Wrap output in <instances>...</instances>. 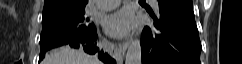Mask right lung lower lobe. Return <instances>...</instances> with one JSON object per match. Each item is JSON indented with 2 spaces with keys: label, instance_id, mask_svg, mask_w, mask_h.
<instances>
[{
  "label": "right lung lower lobe",
  "instance_id": "obj_1",
  "mask_svg": "<svg viewBox=\"0 0 242 64\" xmlns=\"http://www.w3.org/2000/svg\"><path fill=\"white\" fill-rule=\"evenodd\" d=\"M96 39H97V32L95 31L94 34H92L89 37L81 38L78 40H73L68 42L65 45L62 46H68L71 48H81L84 52L89 54H95L98 53V58L103 61L105 64H115V60L112 59L108 54L104 53L103 50H100L96 45ZM56 48V47H55ZM45 56L44 54L40 55V60H42Z\"/></svg>",
  "mask_w": 242,
  "mask_h": 64
}]
</instances>
